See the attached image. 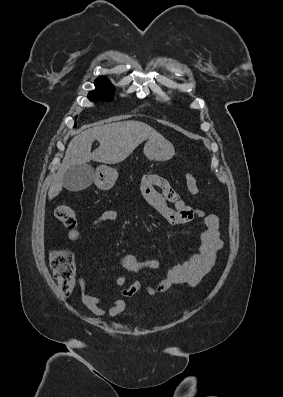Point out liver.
Here are the masks:
<instances>
[{"mask_svg":"<svg viewBox=\"0 0 283 397\" xmlns=\"http://www.w3.org/2000/svg\"><path fill=\"white\" fill-rule=\"evenodd\" d=\"M147 139H163V136L148 124L135 120L113 122L80 132L68 144L49 188V200L62 191L63 175L69 167L87 164L91 160L104 164L120 163ZM94 140H98L100 145L91 152Z\"/></svg>","mask_w":283,"mask_h":397,"instance_id":"liver-1","label":"liver"}]
</instances>
